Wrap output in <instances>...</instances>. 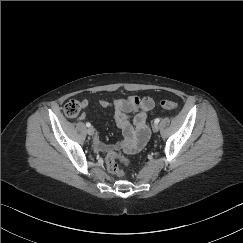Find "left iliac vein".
<instances>
[{"mask_svg":"<svg viewBox=\"0 0 243 243\" xmlns=\"http://www.w3.org/2000/svg\"><path fill=\"white\" fill-rule=\"evenodd\" d=\"M159 130V126H158V124H154L153 125V131L154 132H157Z\"/></svg>","mask_w":243,"mask_h":243,"instance_id":"4c4485c4","label":"left iliac vein"}]
</instances>
